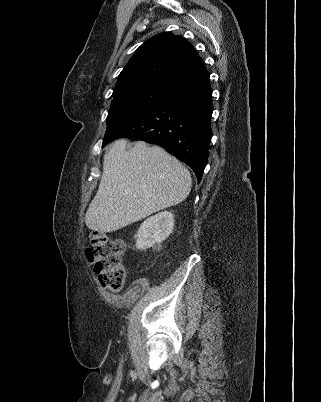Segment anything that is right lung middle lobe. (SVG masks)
I'll use <instances>...</instances> for the list:
<instances>
[{"instance_id": "right-lung-middle-lobe-1", "label": "right lung middle lobe", "mask_w": 321, "mask_h": 402, "mask_svg": "<svg viewBox=\"0 0 321 402\" xmlns=\"http://www.w3.org/2000/svg\"><path fill=\"white\" fill-rule=\"evenodd\" d=\"M170 89L169 85L148 83L114 92L102 146L164 100Z\"/></svg>"}]
</instances>
